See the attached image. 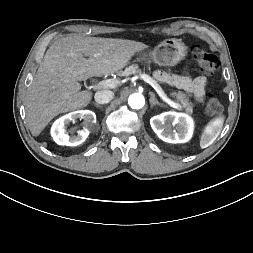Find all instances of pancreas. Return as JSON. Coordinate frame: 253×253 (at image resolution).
I'll list each match as a JSON object with an SVG mask.
<instances>
[{
    "label": "pancreas",
    "instance_id": "1",
    "mask_svg": "<svg viewBox=\"0 0 253 253\" xmlns=\"http://www.w3.org/2000/svg\"><path fill=\"white\" fill-rule=\"evenodd\" d=\"M141 69H139L138 65L133 64L127 67L124 71L119 72L118 74L121 76H129L131 74H141ZM172 97L176 98V101L179 102L180 108H184L187 113L193 112V103L190 102L189 98L182 92H173Z\"/></svg>",
    "mask_w": 253,
    "mask_h": 253
}]
</instances>
